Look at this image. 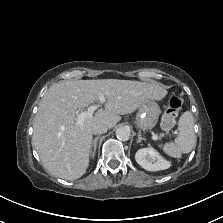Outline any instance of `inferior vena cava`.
I'll list each match as a JSON object with an SVG mask.
<instances>
[{"label": "inferior vena cava", "mask_w": 223, "mask_h": 223, "mask_svg": "<svg viewBox=\"0 0 223 223\" xmlns=\"http://www.w3.org/2000/svg\"><path fill=\"white\" fill-rule=\"evenodd\" d=\"M107 126L104 124H96L92 127L93 134H104L107 132Z\"/></svg>", "instance_id": "1"}]
</instances>
